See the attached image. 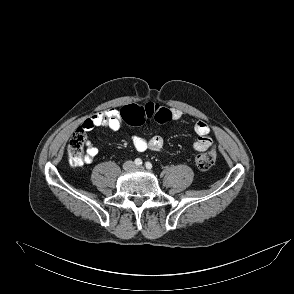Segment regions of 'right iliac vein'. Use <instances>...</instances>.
<instances>
[{
	"label": "right iliac vein",
	"mask_w": 294,
	"mask_h": 294,
	"mask_svg": "<svg viewBox=\"0 0 294 294\" xmlns=\"http://www.w3.org/2000/svg\"><path fill=\"white\" fill-rule=\"evenodd\" d=\"M133 167V165L132 164H127V166H126V169H131Z\"/></svg>",
	"instance_id": "1"
}]
</instances>
